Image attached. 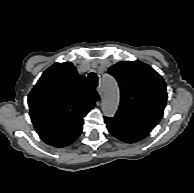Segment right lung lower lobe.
<instances>
[{
  "label": "right lung lower lobe",
  "instance_id": "98d812e1",
  "mask_svg": "<svg viewBox=\"0 0 194 193\" xmlns=\"http://www.w3.org/2000/svg\"><path fill=\"white\" fill-rule=\"evenodd\" d=\"M82 124H78L75 128H73L71 131L66 132L64 134L51 137L48 139H44V142L47 144L54 146V147H64L72 143L74 140L78 138L82 131Z\"/></svg>",
  "mask_w": 194,
  "mask_h": 193
}]
</instances>
